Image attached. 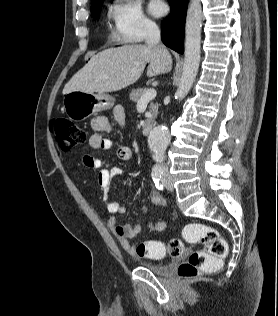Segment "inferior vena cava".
Here are the masks:
<instances>
[{
  "instance_id": "602c4592",
  "label": "inferior vena cava",
  "mask_w": 278,
  "mask_h": 316,
  "mask_svg": "<svg viewBox=\"0 0 278 316\" xmlns=\"http://www.w3.org/2000/svg\"><path fill=\"white\" fill-rule=\"evenodd\" d=\"M144 39L147 45L149 46H155L160 43L161 37H160V30L156 23L154 22H147L144 26ZM164 171L167 170V168L163 167Z\"/></svg>"
}]
</instances>
